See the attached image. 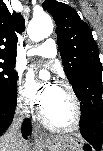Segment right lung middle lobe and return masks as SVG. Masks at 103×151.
<instances>
[{"mask_svg": "<svg viewBox=\"0 0 103 151\" xmlns=\"http://www.w3.org/2000/svg\"><path fill=\"white\" fill-rule=\"evenodd\" d=\"M15 63L0 62V99L15 101L17 99V78Z\"/></svg>", "mask_w": 103, "mask_h": 151, "instance_id": "right-lung-middle-lobe-1", "label": "right lung middle lobe"}]
</instances>
